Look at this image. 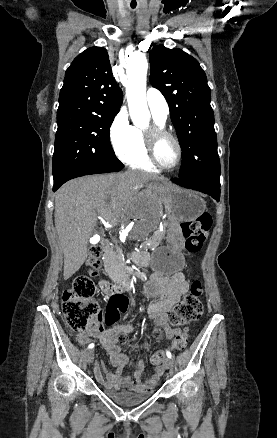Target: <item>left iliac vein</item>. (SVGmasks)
I'll list each match as a JSON object with an SVG mask.
<instances>
[{
    "label": "left iliac vein",
    "mask_w": 277,
    "mask_h": 438,
    "mask_svg": "<svg viewBox=\"0 0 277 438\" xmlns=\"http://www.w3.org/2000/svg\"><path fill=\"white\" fill-rule=\"evenodd\" d=\"M164 367L166 369H170L172 367V361L170 358H165L164 360Z\"/></svg>",
    "instance_id": "4c4485c4"
}]
</instances>
